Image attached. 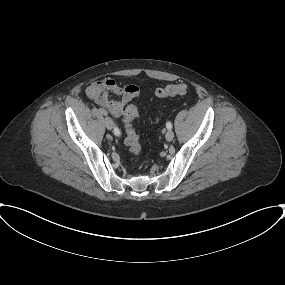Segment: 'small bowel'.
<instances>
[{"label":"small bowel","instance_id":"c3829d8e","mask_svg":"<svg viewBox=\"0 0 285 285\" xmlns=\"http://www.w3.org/2000/svg\"><path fill=\"white\" fill-rule=\"evenodd\" d=\"M85 92L105 112L119 117L128 103L140 95V88L132 83L119 85L113 79L105 78L91 83Z\"/></svg>","mask_w":285,"mask_h":285}]
</instances>
